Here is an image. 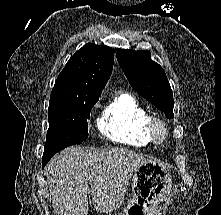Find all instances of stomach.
I'll list each match as a JSON object with an SVG mask.
<instances>
[{"instance_id":"0dacf381","label":"stomach","mask_w":221,"mask_h":215,"mask_svg":"<svg viewBox=\"0 0 221 215\" xmlns=\"http://www.w3.org/2000/svg\"><path fill=\"white\" fill-rule=\"evenodd\" d=\"M171 185L172 176L164 164L149 161L141 165L132 175V200L123 213L115 215H154L169 195Z\"/></svg>"}]
</instances>
